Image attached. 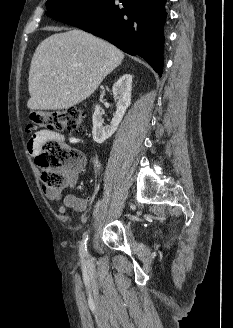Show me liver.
Returning <instances> with one entry per match:
<instances>
[{"mask_svg": "<svg viewBox=\"0 0 233 328\" xmlns=\"http://www.w3.org/2000/svg\"><path fill=\"white\" fill-rule=\"evenodd\" d=\"M123 58L118 48L82 30L51 35L38 45L31 60L28 108L75 106L94 93Z\"/></svg>", "mask_w": 233, "mask_h": 328, "instance_id": "liver-1", "label": "liver"}]
</instances>
